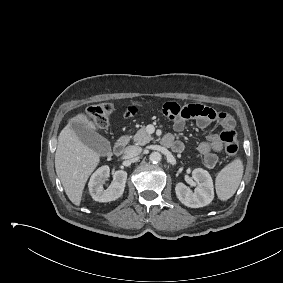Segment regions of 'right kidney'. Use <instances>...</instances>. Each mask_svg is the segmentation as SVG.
<instances>
[{"instance_id": "ca27d5eb", "label": "right kidney", "mask_w": 283, "mask_h": 283, "mask_svg": "<svg viewBox=\"0 0 283 283\" xmlns=\"http://www.w3.org/2000/svg\"><path fill=\"white\" fill-rule=\"evenodd\" d=\"M110 176V168L102 166L90 178L89 191L92 198L98 202H110L122 196L126 184L127 172L118 170L113 173V182L108 189H103V184Z\"/></svg>"}]
</instances>
